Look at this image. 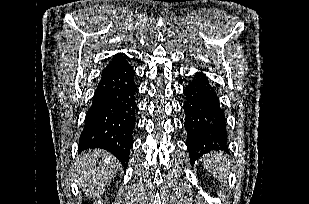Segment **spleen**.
<instances>
[{"instance_id": "3e777b00", "label": "spleen", "mask_w": 309, "mask_h": 204, "mask_svg": "<svg viewBox=\"0 0 309 204\" xmlns=\"http://www.w3.org/2000/svg\"><path fill=\"white\" fill-rule=\"evenodd\" d=\"M205 167L220 181H225L228 176L229 162L221 153L215 152L202 158Z\"/></svg>"}]
</instances>
